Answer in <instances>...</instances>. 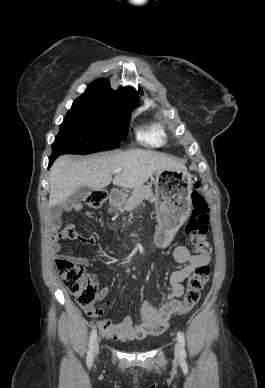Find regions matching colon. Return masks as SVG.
Segmentation results:
<instances>
[{
	"label": "colon",
	"instance_id": "obj_1",
	"mask_svg": "<svg viewBox=\"0 0 265 388\" xmlns=\"http://www.w3.org/2000/svg\"><path fill=\"white\" fill-rule=\"evenodd\" d=\"M106 197V190L98 189L88 195L86 203L89 207L97 209L102 206ZM191 200L192 210L185 225V233L198 254L208 255L211 252V245L207 239L210 208L200 191L199 183L195 184L191 192ZM60 236L65 239L79 237L75 230L70 227L65 228ZM56 266L67 290L75 296L77 303L88 314L92 315L97 299L95 277L87 274L82 266L74 264L66 258L57 259ZM209 276L210 268L207 265L196 268L188 279L186 293L177 307L176 313H187L199 302L201 290L207 284Z\"/></svg>",
	"mask_w": 265,
	"mask_h": 388
}]
</instances>
